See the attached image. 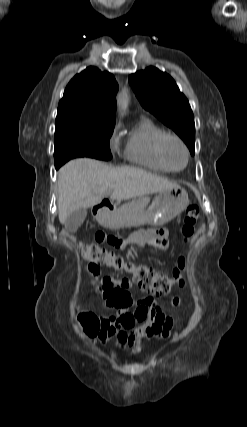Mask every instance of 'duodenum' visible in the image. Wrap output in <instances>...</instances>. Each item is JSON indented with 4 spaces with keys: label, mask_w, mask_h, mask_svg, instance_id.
<instances>
[{
    "label": "duodenum",
    "mask_w": 247,
    "mask_h": 427,
    "mask_svg": "<svg viewBox=\"0 0 247 427\" xmlns=\"http://www.w3.org/2000/svg\"><path fill=\"white\" fill-rule=\"evenodd\" d=\"M110 210H112V205L109 202H100L97 206H96V213L98 215H103L108 213Z\"/></svg>",
    "instance_id": "1"
}]
</instances>
